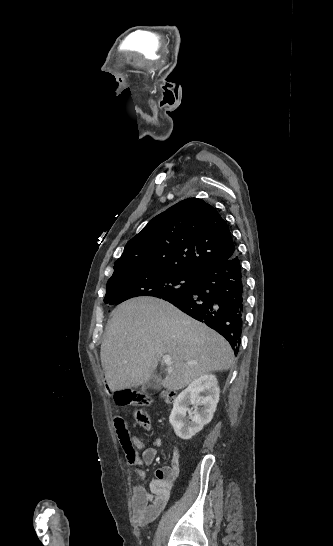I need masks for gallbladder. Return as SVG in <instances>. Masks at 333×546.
Segmentation results:
<instances>
[{
  "label": "gallbladder",
  "mask_w": 333,
  "mask_h": 546,
  "mask_svg": "<svg viewBox=\"0 0 333 546\" xmlns=\"http://www.w3.org/2000/svg\"><path fill=\"white\" fill-rule=\"evenodd\" d=\"M160 381L158 379V377L156 376H152L148 382H146L145 384H143L142 386V391L144 392H152V391H156V390H159L160 389Z\"/></svg>",
  "instance_id": "gallbladder-1"
}]
</instances>
